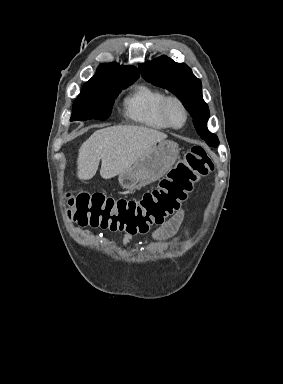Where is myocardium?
<instances>
[{
	"label": "myocardium",
	"mask_w": 283,
	"mask_h": 384,
	"mask_svg": "<svg viewBox=\"0 0 283 384\" xmlns=\"http://www.w3.org/2000/svg\"><path fill=\"white\" fill-rule=\"evenodd\" d=\"M173 103L177 104L182 109V111L184 113V121L180 126L173 125L169 119L168 111H169L170 105ZM159 116H160V119L162 120V122L168 128L173 129V130H178V129L183 128L187 124L188 119H189V112H188L186 105L184 104V102L180 98H178L177 96H166L159 107Z\"/></svg>",
	"instance_id": "myocardium-1"
}]
</instances>
